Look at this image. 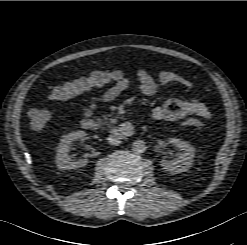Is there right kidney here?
Here are the masks:
<instances>
[{
    "instance_id": "1",
    "label": "right kidney",
    "mask_w": 247,
    "mask_h": 245,
    "mask_svg": "<svg viewBox=\"0 0 247 245\" xmlns=\"http://www.w3.org/2000/svg\"><path fill=\"white\" fill-rule=\"evenodd\" d=\"M87 136L84 131L71 132L68 135H65L58 147L56 153V165L61 170H70L83 167L87 165L88 158L85 156L83 159L73 160L71 156L68 155L70 150V144L77 139H84Z\"/></svg>"
}]
</instances>
